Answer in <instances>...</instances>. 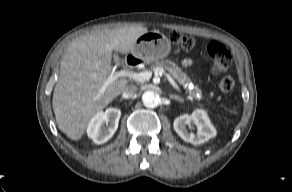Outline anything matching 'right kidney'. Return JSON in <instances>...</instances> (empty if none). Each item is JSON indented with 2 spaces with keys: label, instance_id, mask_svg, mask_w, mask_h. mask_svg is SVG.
<instances>
[{
  "label": "right kidney",
  "instance_id": "ca27d5eb",
  "mask_svg": "<svg viewBox=\"0 0 292 192\" xmlns=\"http://www.w3.org/2000/svg\"><path fill=\"white\" fill-rule=\"evenodd\" d=\"M121 111L116 108H108L105 112H99L90 121L87 134L96 144H103L111 139L118 128Z\"/></svg>",
  "mask_w": 292,
  "mask_h": 192
}]
</instances>
